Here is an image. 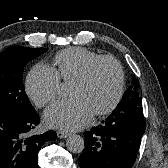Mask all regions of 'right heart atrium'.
Instances as JSON below:
<instances>
[{
  "label": "right heart atrium",
  "mask_w": 168,
  "mask_h": 168,
  "mask_svg": "<svg viewBox=\"0 0 168 168\" xmlns=\"http://www.w3.org/2000/svg\"><path fill=\"white\" fill-rule=\"evenodd\" d=\"M60 86L61 82L57 71L43 64L34 66L25 81L26 93L38 107L54 101L59 94Z\"/></svg>",
  "instance_id": "1"
}]
</instances>
